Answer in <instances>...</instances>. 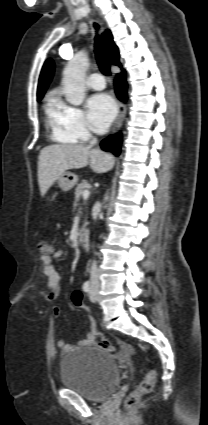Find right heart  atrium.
Masks as SVG:
<instances>
[{"label":"right heart atrium","instance_id":"d8ad5b80","mask_svg":"<svg viewBox=\"0 0 208 425\" xmlns=\"http://www.w3.org/2000/svg\"><path fill=\"white\" fill-rule=\"evenodd\" d=\"M61 120L65 129L77 142H87L91 138L86 117L81 109L61 103Z\"/></svg>","mask_w":208,"mask_h":425}]
</instances>
